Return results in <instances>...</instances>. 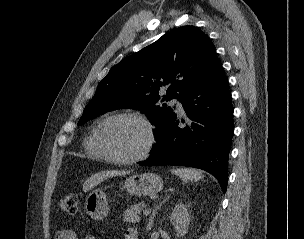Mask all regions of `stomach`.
I'll return each instance as SVG.
<instances>
[{"instance_id": "stomach-1", "label": "stomach", "mask_w": 304, "mask_h": 239, "mask_svg": "<svg viewBox=\"0 0 304 239\" xmlns=\"http://www.w3.org/2000/svg\"><path fill=\"white\" fill-rule=\"evenodd\" d=\"M124 187L131 195L149 196L162 189L163 180L159 175L151 172L135 174L125 180ZM85 209L88 215L95 220H102L108 215L109 207L103 190L95 189L88 194Z\"/></svg>"}]
</instances>
